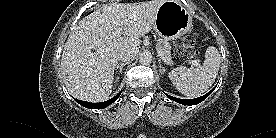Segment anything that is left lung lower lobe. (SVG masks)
I'll return each mask as SVG.
<instances>
[{"label":"left lung lower lobe","mask_w":276,"mask_h":138,"mask_svg":"<svg viewBox=\"0 0 276 138\" xmlns=\"http://www.w3.org/2000/svg\"><path fill=\"white\" fill-rule=\"evenodd\" d=\"M215 88H213L210 92H208L207 94H205L204 96H201L199 98H195V99H189V100H186V99H178L176 97H172V96H169L168 94H166V96L175 101V102H178L180 104H183V105H196L200 102H202L204 99H206L214 90Z\"/></svg>","instance_id":"obj_1"}]
</instances>
